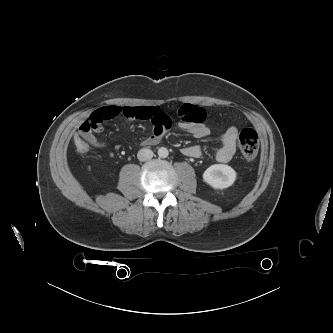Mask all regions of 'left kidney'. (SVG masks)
<instances>
[{
  "label": "left kidney",
  "mask_w": 333,
  "mask_h": 333,
  "mask_svg": "<svg viewBox=\"0 0 333 333\" xmlns=\"http://www.w3.org/2000/svg\"><path fill=\"white\" fill-rule=\"evenodd\" d=\"M235 179V170L225 164L212 165L203 173V180L215 189L228 188Z\"/></svg>",
  "instance_id": "1"
}]
</instances>
